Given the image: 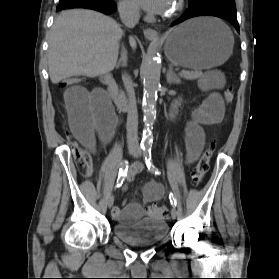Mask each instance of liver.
<instances>
[{"label":"liver","instance_id":"1","mask_svg":"<svg viewBox=\"0 0 279 279\" xmlns=\"http://www.w3.org/2000/svg\"><path fill=\"white\" fill-rule=\"evenodd\" d=\"M122 35L116 21L102 13L84 9L63 11L55 19L48 41L52 83L74 76L93 78L112 71ZM130 45L136 48L133 38Z\"/></svg>","mask_w":279,"mask_h":279}]
</instances>
